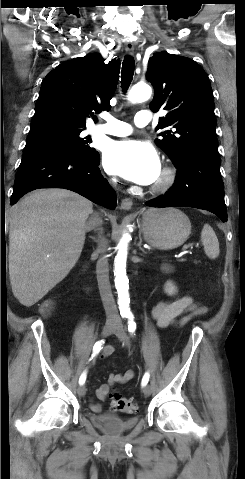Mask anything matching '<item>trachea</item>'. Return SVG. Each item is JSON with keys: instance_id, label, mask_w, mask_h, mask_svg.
I'll return each mask as SVG.
<instances>
[{"instance_id": "3493384b", "label": "trachea", "mask_w": 245, "mask_h": 479, "mask_svg": "<svg viewBox=\"0 0 245 479\" xmlns=\"http://www.w3.org/2000/svg\"><path fill=\"white\" fill-rule=\"evenodd\" d=\"M134 75V59L126 56L123 60L121 71L122 91L125 93L131 84Z\"/></svg>"}]
</instances>
